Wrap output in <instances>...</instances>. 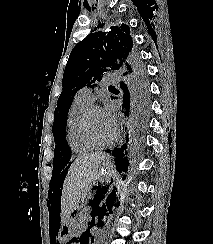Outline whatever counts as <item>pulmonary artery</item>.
Instances as JSON below:
<instances>
[{
	"mask_svg": "<svg viewBox=\"0 0 213 244\" xmlns=\"http://www.w3.org/2000/svg\"><path fill=\"white\" fill-rule=\"evenodd\" d=\"M104 79L106 82H109V83H115L118 80L117 75H115V74H108L104 77ZM77 95H79L81 98L88 100L90 102L93 101V94H92L91 90L87 87L80 89Z\"/></svg>",
	"mask_w": 213,
	"mask_h": 244,
	"instance_id": "1",
	"label": "pulmonary artery"
}]
</instances>
